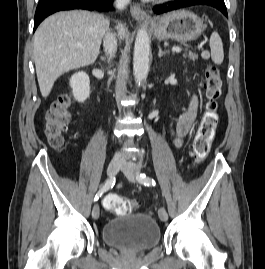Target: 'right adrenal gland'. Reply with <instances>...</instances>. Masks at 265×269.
<instances>
[{
  "instance_id": "2a0ac1e0",
  "label": "right adrenal gland",
  "mask_w": 265,
  "mask_h": 269,
  "mask_svg": "<svg viewBox=\"0 0 265 269\" xmlns=\"http://www.w3.org/2000/svg\"><path fill=\"white\" fill-rule=\"evenodd\" d=\"M102 61H105V57L104 56H101L100 57Z\"/></svg>"
}]
</instances>
